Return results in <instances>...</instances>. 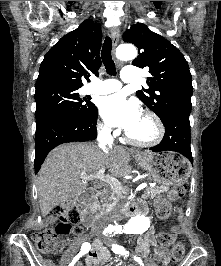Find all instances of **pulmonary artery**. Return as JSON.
I'll list each match as a JSON object with an SVG mask.
<instances>
[{
	"label": "pulmonary artery",
	"instance_id": "1",
	"mask_svg": "<svg viewBox=\"0 0 221 266\" xmlns=\"http://www.w3.org/2000/svg\"><path fill=\"white\" fill-rule=\"evenodd\" d=\"M139 77V68L133 65H127L123 68L121 80L125 83L137 82ZM122 84L115 79H104L98 81L96 84L88 89L91 94L105 95L118 91Z\"/></svg>",
	"mask_w": 221,
	"mask_h": 266
}]
</instances>
